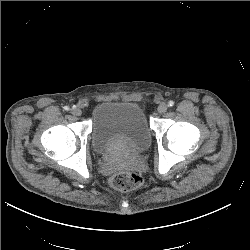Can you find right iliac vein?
Wrapping results in <instances>:
<instances>
[{
	"mask_svg": "<svg viewBox=\"0 0 250 250\" xmlns=\"http://www.w3.org/2000/svg\"><path fill=\"white\" fill-rule=\"evenodd\" d=\"M71 113H72L74 116H81L82 110L79 109V108H73V109H71Z\"/></svg>",
	"mask_w": 250,
	"mask_h": 250,
	"instance_id": "63e3f726",
	"label": "right iliac vein"
}]
</instances>
